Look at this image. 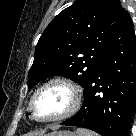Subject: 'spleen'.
<instances>
[{"mask_svg": "<svg viewBox=\"0 0 136 136\" xmlns=\"http://www.w3.org/2000/svg\"><path fill=\"white\" fill-rule=\"evenodd\" d=\"M77 133L78 136H98V135H94L92 132L85 129H78Z\"/></svg>", "mask_w": 136, "mask_h": 136, "instance_id": "obj_1", "label": "spleen"}]
</instances>
